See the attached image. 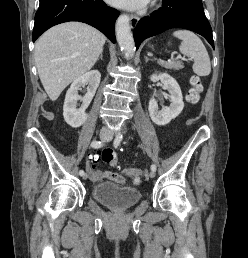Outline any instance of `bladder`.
I'll use <instances>...</instances> for the list:
<instances>
[{
    "label": "bladder",
    "mask_w": 248,
    "mask_h": 258,
    "mask_svg": "<svg viewBox=\"0 0 248 258\" xmlns=\"http://www.w3.org/2000/svg\"><path fill=\"white\" fill-rule=\"evenodd\" d=\"M92 195L97 202L114 209L132 207L142 198L139 189L111 182L94 186Z\"/></svg>",
    "instance_id": "31cf9c89"
}]
</instances>
